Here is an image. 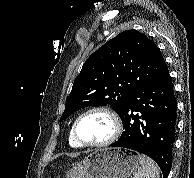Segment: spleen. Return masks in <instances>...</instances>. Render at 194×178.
<instances>
[{
    "label": "spleen",
    "mask_w": 194,
    "mask_h": 178,
    "mask_svg": "<svg viewBox=\"0 0 194 178\" xmlns=\"http://www.w3.org/2000/svg\"><path fill=\"white\" fill-rule=\"evenodd\" d=\"M140 167L134 178H160L159 168L156 163L145 155L139 156Z\"/></svg>",
    "instance_id": "spleen-1"
}]
</instances>
